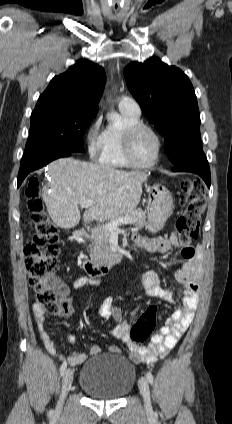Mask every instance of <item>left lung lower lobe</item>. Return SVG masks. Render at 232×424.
I'll return each instance as SVG.
<instances>
[{
    "mask_svg": "<svg viewBox=\"0 0 232 424\" xmlns=\"http://www.w3.org/2000/svg\"><path fill=\"white\" fill-rule=\"evenodd\" d=\"M173 171L196 173L202 177L210 188V168L201 141L188 148L181 159L173 166Z\"/></svg>",
    "mask_w": 232,
    "mask_h": 424,
    "instance_id": "0a47b994",
    "label": "left lung lower lobe"
}]
</instances>
